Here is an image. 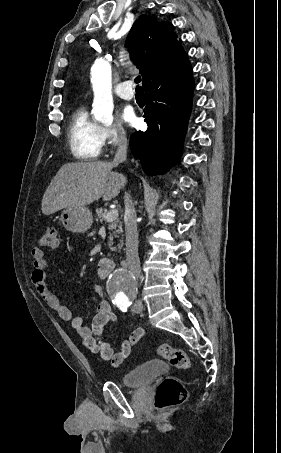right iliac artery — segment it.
<instances>
[{
  "label": "right iliac artery",
  "instance_id": "obj_1",
  "mask_svg": "<svg viewBox=\"0 0 281 453\" xmlns=\"http://www.w3.org/2000/svg\"><path fill=\"white\" fill-rule=\"evenodd\" d=\"M127 305H123V306H120V309L123 311V312H126L127 311Z\"/></svg>",
  "mask_w": 281,
  "mask_h": 453
}]
</instances>
